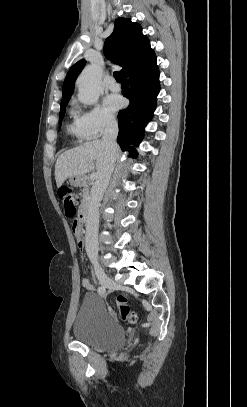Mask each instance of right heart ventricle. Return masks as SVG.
Here are the masks:
<instances>
[{"label":"right heart ventricle","mask_w":247,"mask_h":407,"mask_svg":"<svg viewBox=\"0 0 247 407\" xmlns=\"http://www.w3.org/2000/svg\"><path fill=\"white\" fill-rule=\"evenodd\" d=\"M70 116L72 117V120L69 122L67 125V131L69 134L73 135L79 140H84L87 139L83 129L81 128L79 122H78V113L75 109L70 110Z\"/></svg>","instance_id":"e07e8e85"}]
</instances>
